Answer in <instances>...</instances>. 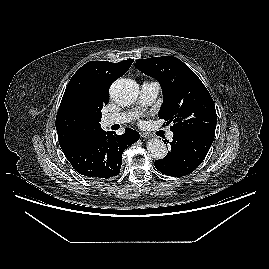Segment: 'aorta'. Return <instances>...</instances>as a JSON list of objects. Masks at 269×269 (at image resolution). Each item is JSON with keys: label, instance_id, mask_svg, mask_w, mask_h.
<instances>
[{"label": "aorta", "instance_id": "1", "mask_svg": "<svg viewBox=\"0 0 269 269\" xmlns=\"http://www.w3.org/2000/svg\"><path fill=\"white\" fill-rule=\"evenodd\" d=\"M110 95L120 106L130 105L138 96V85L131 79H118L112 83ZM147 150L156 160L163 159L167 155L165 143L157 138L148 141Z\"/></svg>", "mask_w": 269, "mask_h": 269}]
</instances>
